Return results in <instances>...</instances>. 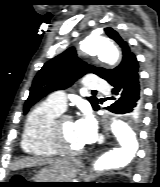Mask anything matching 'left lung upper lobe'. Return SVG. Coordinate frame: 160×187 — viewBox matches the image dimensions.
Here are the masks:
<instances>
[{
	"mask_svg": "<svg viewBox=\"0 0 160 187\" xmlns=\"http://www.w3.org/2000/svg\"><path fill=\"white\" fill-rule=\"evenodd\" d=\"M105 32L122 50V61L120 65L109 70L102 67H95L81 61L76 56L74 48L66 50L62 54L48 61L37 73L33 80L29 97L24 106L25 114L33 104L39 101L46 94L55 90L68 88L74 81L86 73L92 72L109 82L123 71L128 60L131 56H134V54L130 51L128 44L117 31L112 28H105ZM88 100L94 110L99 109V100L97 98L89 97ZM129 121L133 125L138 124L131 120Z\"/></svg>",
	"mask_w": 160,
	"mask_h": 187,
	"instance_id": "1",
	"label": "left lung upper lobe"
}]
</instances>
